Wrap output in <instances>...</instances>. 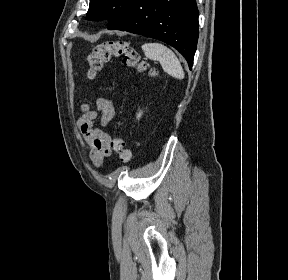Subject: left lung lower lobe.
Segmentation results:
<instances>
[{"mask_svg": "<svg viewBox=\"0 0 288 280\" xmlns=\"http://www.w3.org/2000/svg\"><path fill=\"white\" fill-rule=\"evenodd\" d=\"M108 29L159 39L178 50L192 69L198 40L195 0H137Z\"/></svg>", "mask_w": 288, "mask_h": 280, "instance_id": "0a47b994", "label": "left lung lower lobe"}]
</instances>
